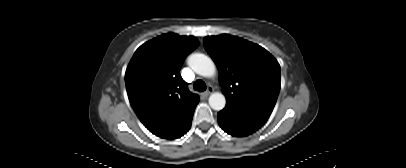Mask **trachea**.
Instances as JSON below:
<instances>
[{"label":"trachea","mask_w":406,"mask_h":168,"mask_svg":"<svg viewBox=\"0 0 406 168\" xmlns=\"http://www.w3.org/2000/svg\"><path fill=\"white\" fill-rule=\"evenodd\" d=\"M193 87L196 91L202 92L206 90V84L202 80H196Z\"/></svg>","instance_id":"1"}]
</instances>
